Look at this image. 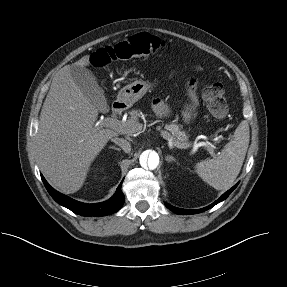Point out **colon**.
Listing matches in <instances>:
<instances>
[{
	"mask_svg": "<svg viewBox=\"0 0 287 287\" xmlns=\"http://www.w3.org/2000/svg\"><path fill=\"white\" fill-rule=\"evenodd\" d=\"M163 41L149 33H138L115 44L98 49L92 56V63L96 67H105L118 60H128L135 57L148 56L163 47ZM203 98L208 109L216 118H224L228 113L225 92L220 83L213 82L206 85Z\"/></svg>",
	"mask_w": 287,
	"mask_h": 287,
	"instance_id": "colon-1",
	"label": "colon"
}]
</instances>
